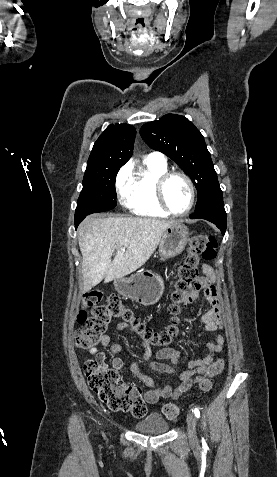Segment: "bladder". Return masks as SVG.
Segmentation results:
<instances>
[{"mask_svg":"<svg viewBox=\"0 0 277 477\" xmlns=\"http://www.w3.org/2000/svg\"><path fill=\"white\" fill-rule=\"evenodd\" d=\"M136 431L143 434L158 435L168 432L169 423L157 413H153L145 419L134 424Z\"/></svg>","mask_w":277,"mask_h":477,"instance_id":"obj_1","label":"bladder"}]
</instances>
